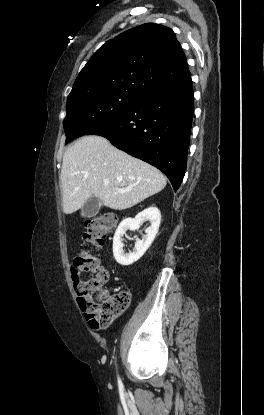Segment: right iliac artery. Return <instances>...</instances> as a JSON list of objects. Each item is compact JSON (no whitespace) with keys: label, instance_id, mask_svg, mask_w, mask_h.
I'll return each instance as SVG.
<instances>
[{"label":"right iliac artery","instance_id":"1","mask_svg":"<svg viewBox=\"0 0 264 415\" xmlns=\"http://www.w3.org/2000/svg\"><path fill=\"white\" fill-rule=\"evenodd\" d=\"M118 383H119V385H121L122 383H121V380H120V378L118 377Z\"/></svg>","mask_w":264,"mask_h":415}]
</instances>
